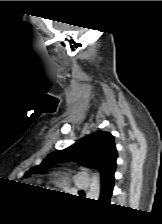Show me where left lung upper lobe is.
I'll return each mask as SVG.
<instances>
[{
	"instance_id": "5c2ea615",
	"label": "left lung upper lobe",
	"mask_w": 162,
	"mask_h": 224,
	"mask_svg": "<svg viewBox=\"0 0 162 224\" xmlns=\"http://www.w3.org/2000/svg\"><path fill=\"white\" fill-rule=\"evenodd\" d=\"M117 150L114 137L105 131L90 134L74 145L49 154L40 165L32 167L24 177L45 170L52 163L75 161L100 172L101 182L116 168Z\"/></svg>"
}]
</instances>
